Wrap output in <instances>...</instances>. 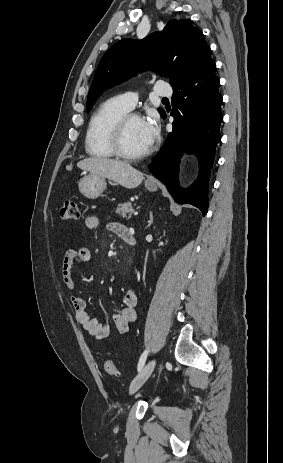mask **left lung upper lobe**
<instances>
[{
	"label": "left lung upper lobe",
	"instance_id": "left-lung-upper-lobe-1",
	"mask_svg": "<svg viewBox=\"0 0 283 463\" xmlns=\"http://www.w3.org/2000/svg\"><path fill=\"white\" fill-rule=\"evenodd\" d=\"M210 54L204 35L187 19H173L161 32L140 41L122 39L104 54L97 67L87 98V112L106 89L151 67L169 77L174 88L211 62ZM158 111L163 117L164 110Z\"/></svg>",
	"mask_w": 283,
	"mask_h": 463
}]
</instances>
